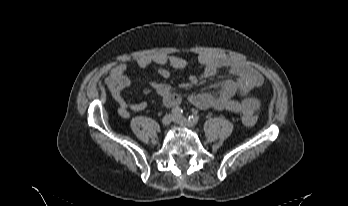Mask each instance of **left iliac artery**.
<instances>
[{
  "instance_id": "44dca946",
  "label": "left iliac artery",
  "mask_w": 348,
  "mask_h": 206,
  "mask_svg": "<svg viewBox=\"0 0 348 206\" xmlns=\"http://www.w3.org/2000/svg\"><path fill=\"white\" fill-rule=\"evenodd\" d=\"M189 122L192 123V124H196L199 120V116L196 115V114H193L191 116H189Z\"/></svg>"
}]
</instances>
